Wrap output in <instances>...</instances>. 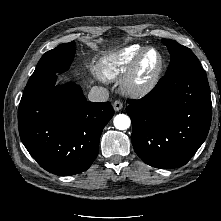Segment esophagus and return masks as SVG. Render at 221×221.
<instances>
[{
	"mask_svg": "<svg viewBox=\"0 0 221 221\" xmlns=\"http://www.w3.org/2000/svg\"><path fill=\"white\" fill-rule=\"evenodd\" d=\"M123 107V104L121 101L119 100H116L114 103H113V108L115 111H120Z\"/></svg>",
	"mask_w": 221,
	"mask_h": 221,
	"instance_id": "34e87169",
	"label": "esophagus"
}]
</instances>
